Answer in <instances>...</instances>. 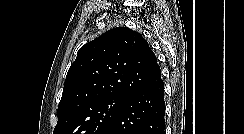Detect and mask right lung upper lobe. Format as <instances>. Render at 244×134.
Returning <instances> with one entry per match:
<instances>
[{"label": "right lung upper lobe", "mask_w": 244, "mask_h": 134, "mask_svg": "<svg viewBox=\"0 0 244 134\" xmlns=\"http://www.w3.org/2000/svg\"><path fill=\"white\" fill-rule=\"evenodd\" d=\"M160 82L156 56L142 35L127 27L111 29L78 50L67 73L58 120L106 98L129 99Z\"/></svg>", "instance_id": "cb5924a9"}]
</instances>
